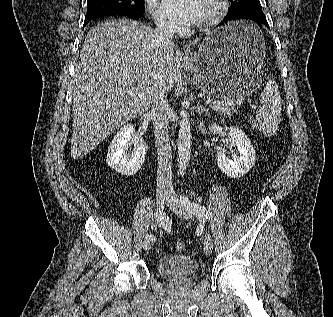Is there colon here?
Returning a JSON list of instances; mask_svg holds the SVG:
<instances>
[{
    "instance_id": "colon-1",
    "label": "colon",
    "mask_w": 333,
    "mask_h": 317,
    "mask_svg": "<svg viewBox=\"0 0 333 317\" xmlns=\"http://www.w3.org/2000/svg\"><path fill=\"white\" fill-rule=\"evenodd\" d=\"M256 127H258L260 129L259 126H256ZM175 249L179 252L183 251L185 249V243L181 240L177 241L175 243Z\"/></svg>"
}]
</instances>
